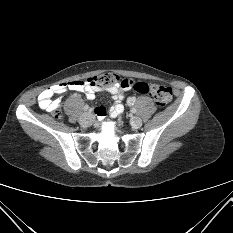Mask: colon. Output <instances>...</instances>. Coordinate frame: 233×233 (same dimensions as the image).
Listing matches in <instances>:
<instances>
[{
    "label": "colon",
    "instance_id": "obj_1",
    "mask_svg": "<svg viewBox=\"0 0 233 233\" xmlns=\"http://www.w3.org/2000/svg\"><path fill=\"white\" fill-rule=\"evenodd\" d=\"M90 79L97 83L98 86L101 85V88L119 86L127 91L133 89L140 94H149L154 98L156 104L160 107H164L169 104L173 97L170 87L156 84L150 85L144 82L134 83L131 80L121 78L115 73H103L93 76ZM54 116L56 118L60 117L58 112H55Z\"/></svg>",
    "mask_w": 233,
    "mask_h": 233
}]
</instances>
